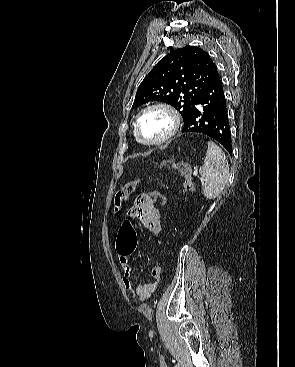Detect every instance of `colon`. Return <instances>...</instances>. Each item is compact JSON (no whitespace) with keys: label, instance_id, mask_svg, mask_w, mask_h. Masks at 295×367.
Wrapping results in <instances>:
<instances>
[{"label":"colon","instance_id":"1","mask_svg":"<svg viewBox=\"0 0 295 367\" xmlns=\"http://www.w3.org/2000/svg\"><path fill=\"white\" fill-rule=\"evenodd\" d=\"M173 169L180 174V176L183 178V191L186 193H192L194 191V182L192 179V169L191 166L186 162H178L173 165ZM139 184V180H133L130 182H127L124 186H122L115 196V207L116 209L121 208L123 205H125L132 194L135 192L137 185ZM138 195H152L154 192L152 190H138ZM160 200L157 202L160 206L167 205L168 196L167 195H161ZM136 242V236L134 229L132 227V224L130 220H126L124 224L121 227L120 233H119V243L120 248L122 250H130L135 247Z\"/></svg>","mask_w":295,"mask_h":367}]
</instances>
